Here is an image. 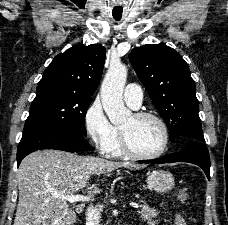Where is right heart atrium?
I'll return each instance as SVG.
<instances>
[{
	"mask_svg": "<svg viewBox=\"0 0 228 225\" xmlns=\"http://www.w3.org/2000/svg\"><path fill=\"white\" fill-rule=\"evenodd\" d=\"M83 125L87 137L97 149H103L115 135V127L106 116L99 100L93 101L85 110Z\"/></svg>",
	"mask_w": 228,
	"mask_h": 225,
	"instance_id": "d8ad5b80",
	"label": "right heart atrium"
}]
</instances>
